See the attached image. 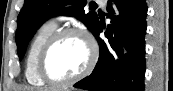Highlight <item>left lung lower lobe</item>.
Wrapping results in <instances>:
<instances>
[{"label":"left lung lower lobe","mask_w":173,"mask_h":91,"mask_svg":"<svg viewBox=\"0 0 173 91\" xmlns=\"http://www.w3.org/2000/svg\"><path fill=\"white\" fill-rule=\"evenodd\" d=\"M108 25L104 42L98 22L93 34L100 45L92 74L74 87L90 91H143L145 76L146 0H108Z\"/></svg>","instance_id":"1"}]
</instances>
